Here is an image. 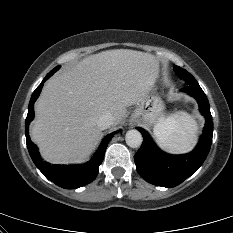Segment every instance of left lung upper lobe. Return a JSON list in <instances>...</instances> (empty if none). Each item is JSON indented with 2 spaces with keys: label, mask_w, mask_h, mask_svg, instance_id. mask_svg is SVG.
Returning a JSON list of instances; mask_svg holds the SVG:
<instances>
[{
  "label": "left lung upper lobe",
  "mask_w": 233,
  "mask_h": 233,
  "mask_svg": "<svg viewBox=\"0 0 233 233\" xmlns=\"http://www.w3.org/2000/svg\"><path fill=\"white\" fill-rule=\"evenodd\" d=\"M174 70L188 85H199L195 78L185 69L179 66H174Z\"/></svg>",
  "instance_id": "1"
}]
</instances>
